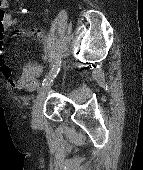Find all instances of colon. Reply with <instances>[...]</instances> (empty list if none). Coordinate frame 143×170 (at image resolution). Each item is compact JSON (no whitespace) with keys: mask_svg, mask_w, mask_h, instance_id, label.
Instances as JSON below:
<instances>
[{"mask_svg":"<svg viewBox=\"0 0 143 170\" xmlns=\"http://www.w3.org/2000/svg\"><path fill=\"white\" fill-rule=\"evenodd\" d=\"M7 2L6 0H0V17L6 14Z\"/></svg>","mask_w":143,"mask_h":170,"instance_id":"1","label":"colon"}]
</instances>
